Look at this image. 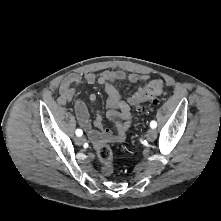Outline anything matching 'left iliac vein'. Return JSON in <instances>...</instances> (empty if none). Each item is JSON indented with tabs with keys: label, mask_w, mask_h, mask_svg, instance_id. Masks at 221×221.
<instances>
[{
	"label": "left iliac vein",
	"mask_w": 221,
	"mask_h": 221,
	"mask_svg": "<svg viewBox=\"0 0 221 221\" xmlns=\"http://www.w3.org/2000/svg\"><path fill=\"white\" fill-rule=\"evenodd\" d=\"M157 137V132L154 129H149L146 133V138L149 141H154Z\"/></svg>",
	"instance_id": "obj_1"
}]
</instances>
